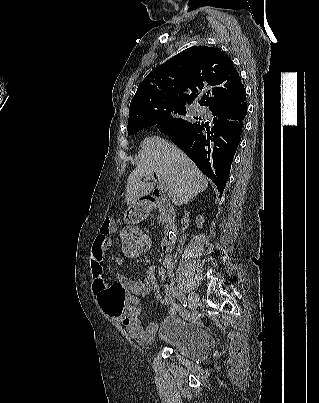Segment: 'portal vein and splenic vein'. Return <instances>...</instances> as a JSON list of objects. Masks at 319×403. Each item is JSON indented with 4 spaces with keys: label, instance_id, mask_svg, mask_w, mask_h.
I'll return each mask as SVG.
<instances>
[{
    "label": "portal vein and splenic vein",
    "instance_id": "1",
    "mask_svg": "<svg viewBox=\"0 0 319 403\" xmlns=\"http://www.w3.org/2000/svg\"><path fill=\"white\" fill-rule=\"evenodd\" d=\"M159 189L161 190V192L167 191V187L165 186L164 182H162V181L159 182Z\"/></svg>",
    "mask_w": 319,
    "mask_h": 403
}]
</instances>
